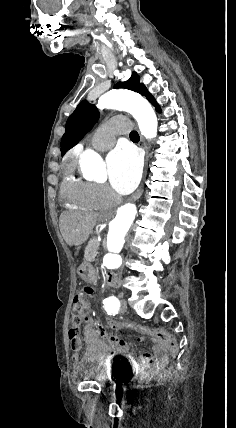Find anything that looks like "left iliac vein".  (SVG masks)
Instances as JSON below:
<instances>
[{"label":"left iliac vein","mask_w":236,"mask_h":428,"mask_svg":"<svg viewBox=\"0 0 236 428\" xmlns=\"http://www.w3.org/2000/svg\"><path fill=\"white\" fill-rule=\"evenodd\" d=\"M126 302H127V301L125 300V298H122V300H121V303L123 304V307H122V308H123V310H125V311H126V310H128V308H129V307H128V305H126V304H125Z\"/></svg>","instance_id":"4c4485c4"}]
</instances>
